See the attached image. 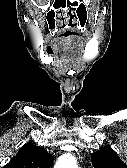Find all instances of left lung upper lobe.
I'll use <instances>...</instances> for the list:
<instances>
[{
	"label": "left lung upper lobe",
	"instance_id": "obj_1",
	"mask_svg": "<svg viewBox=\"0 0 127 168\" xmlns=\"http://www.w3.org/2000/svg\"><path fill=\"white\" fill-rule=\"evenodd\" d=\"M91 159L94 168H127L126 164L120 159L110 145H106L100 150L92 153Z\"/></svg>",
	"mask_w": 127,
	"mask_h": 168
}]
</instances>
